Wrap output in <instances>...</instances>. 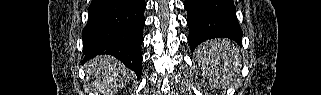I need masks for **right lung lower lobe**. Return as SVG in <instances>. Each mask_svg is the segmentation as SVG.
I'll return each mask as SVG.
<instances>
[{"instance_id": "obj_1", "label": "right lung lower lobe", "mask_w": 321, "mask_h": 95, "mask_svg": "<svg viewBox=\"0 0 321 95\" xmlns=\"http://www.w3.org/2000/svg\"><path fill=\"white\" fill-rule=\"evenodd\" d=\"M145 8V0H92L82 31L84 62L113 55L140 78Z\"/></svg>"}]
</instances>
